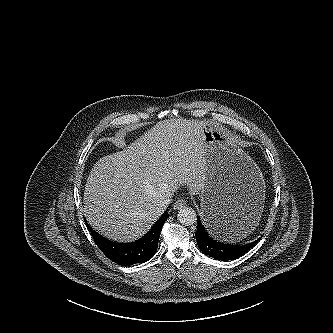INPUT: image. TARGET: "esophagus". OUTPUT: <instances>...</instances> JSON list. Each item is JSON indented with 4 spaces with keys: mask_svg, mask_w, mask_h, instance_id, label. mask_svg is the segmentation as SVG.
Returning <instances> with one entry per match:
<instances>
[{
    "mask_svg": "<svg viewBox=\"0 0 333 333\" xmlns=\"http://www.w3.org/2000/svg\"><path fill=\"white\" fill-rule=\"evenodd\" d=\"M186 204V201L183 199H178L174 204H173V209L174 210H179L180 208L184 207Z\"/></svg>",
    "mask_w": 333,
    "mask_h": 333,
    "instance_id": "obj_1",
    "label": "esophagus"
}]
</instances>
